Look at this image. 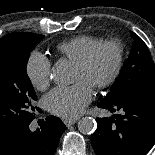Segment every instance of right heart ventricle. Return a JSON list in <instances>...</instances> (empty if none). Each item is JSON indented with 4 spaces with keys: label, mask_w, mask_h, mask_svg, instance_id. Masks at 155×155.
Returning <instances> with one entry per match:
<instances>
[{
    "label": "right heart ventricle",
    "mask_w": 155,
    "mask_h": 155,
    "mask_svg": "<svg viewBox=\"0 0 155 155\" xmlns=\"http://www.w3.org/2000/svg\"><path fill=\"white\" fill-rule=\"evenodd\" d=\"M102 40L90 35H79L57 45V51L72 61L78 62L97 43Z\"/></svg>",
    "instance_id": "right-heart-ventricle-1"
}]
</instances>
